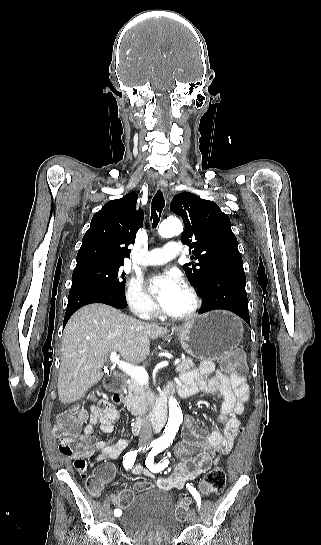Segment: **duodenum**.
Segmentation results:
<instances>
[{
    "label": "duodenum",
    "mask_w": 321,
    "mask_h": 545,
    "mask_svg": "<svg viewBox=\"0 0 321 545\" xmlns=\"http://www.w3.org/2000/svg\"><path fill=\"white\" fill-rule=\"evenodd\" d=\"M106 389L112 393L113 399L118 401L124 388V379L117 374H111L105 381ZM174 393V386H168L155 399L153 411L145 417H137L132 423V433L139 435L145 428L157 431L163 428L166 416L169 397ZM180 394L184 396L181 392Z\"/></svg>",
    "instance_id": "1"
}]
</instances>
